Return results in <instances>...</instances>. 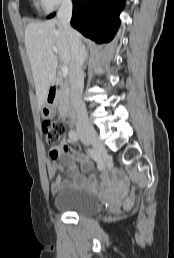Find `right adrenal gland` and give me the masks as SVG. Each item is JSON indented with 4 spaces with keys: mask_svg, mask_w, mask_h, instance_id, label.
<instances>
[{
    "mask_svg": "<svg viewBox=\"0 0 174 258\" xmlns=\"http://www.w3.org/2000/svg\"><path fill=\"white\" fill-rule=\"evenodd\" d=\"M86 57L88 58V51H87V53H86Z\"/></svg>",
    "mask_w": 174,
    "mask_h": 258,
    "instance_id": "2a0ac1e0",
    "label": "right adrenal gland"
}]
</instances>
